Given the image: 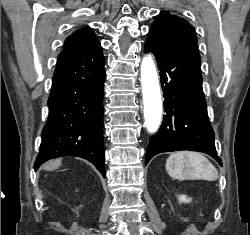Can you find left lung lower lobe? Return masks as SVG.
Returning <instances> with one entry per match:
<instances>
[{
  "label": "left lung lower lobe",
  "mask_w": 250,
  "mask_h": 235,
  "mask_svg": "<svg viewBox=\"0 0 250 235\" xmlns=\"http://www.w3.org/2000/svg\"><path fill=\"white\" fill-rule=\"evenodd\" d=\"M144 50L157 59L166 111L149 143L145 164L159 153L191 150L210 155L222 166L207 115L197 44L168 45L148 37Z\"/></svg>",
  "instance_id": "obj_1"
}]
</instances>
